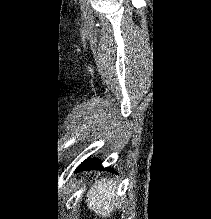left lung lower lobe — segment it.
<instances>
[{
  "label": "left lung lower lobe",
  "instance_id": "1",
  "mask_svg": "<svg viewBox=\"0 0 211 219\" xmlns=\"http://www.w3.org/2000/svg\"><path fill=\"white\" fill-rule=\"evenodd\" d=\"M82 168H86V169L102 168L101 161L96 160V159H90V160L87 159L79 165V167L76 169V171H79Z\"/></svg>",
  "mask_w": 211,
  "mask_h": 219
}]
</instances>
